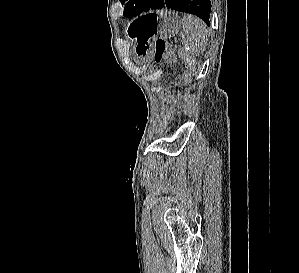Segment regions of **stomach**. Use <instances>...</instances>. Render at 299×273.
I'll return each mask as SVG.
<instances>
[{"label": "stomach", "mask_w": 299, "mask_h": 273, "mask_svg": "<svg viewBox=\"0 0 299 273\" xmlns=\"http://www.w3.org/2000/svg\"><path fill=\"white\" fill-rule=\"evenodd\" d=\"M181 21L171 11L151 12L133 21L128 28V35L134 38V54L149 55L157 37L168 38L178 33Z\"/></svg>", "instance_id": "1"}]
</instances>
